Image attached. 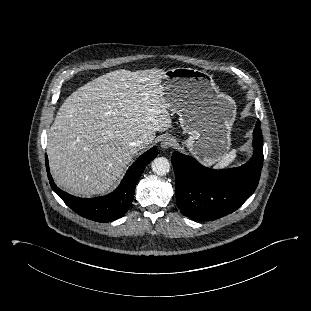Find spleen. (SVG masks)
Instances as JSON below:
<instances>
[{
	"label": "spleen",
	"instance_id": "3e777b00",
	"mask_svg": "<svg viewBox=\"0 0 311 311\" xmlns=\"http://www.w3.org/2000/svg\"><path fill=\"white\" fill-rule=\"evenodd\" d=\"M237 157V150H232L228 154H226L217 164L214 165L216 169H222L229 167Z\"/></svg>",
	"mask_w": 311,
	"mask_h": 311
}]
</instances>
